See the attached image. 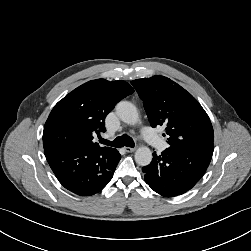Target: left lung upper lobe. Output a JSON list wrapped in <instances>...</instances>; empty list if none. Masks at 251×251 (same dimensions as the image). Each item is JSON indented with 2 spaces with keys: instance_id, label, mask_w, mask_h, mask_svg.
<instances>
[{
  "instance_id": "obj_1",
  "label": "left lung upper lobe",
  "mask_w": 251,
  "mask_h": 251,
  "mask_svg": "<svg viewBox=\"0 0 251 251\" xmlns=\"http://www.w3.org/2000/svg\"><path fill=\"white\" fill-rule=\"evenodd\" d=\"M152 127L164 126L169 150L213 155L211 121L198 101L164 76L133 80ZM165 136V134H164Z\"/></svg>"
}]
</instances>
